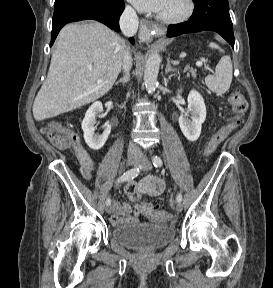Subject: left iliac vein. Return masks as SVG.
Returning <instances> with one entry per match:
<instances>
[{
  "mask_svg": "<svg viewBox=\"0 0 273 288\" xmlns=\"http://www.w3.org/2000/svg\"><path fill=\"white\" fill-rule=\"evenodd\" d=\"M140 164L143 166V169L146 170V171H147V170H150V169L152 168L151 163H150L145 157H142V158L140 159ZM182 209H183V206H182L181 202H178V203L176 204V210H177L178 212H181Z\"/></svg>",
  "mask_w": 273,
  "mask_h": 288,
  "instance_id": "1",
  "label": "left iliac vein"
}]
</instances>
